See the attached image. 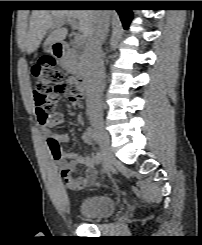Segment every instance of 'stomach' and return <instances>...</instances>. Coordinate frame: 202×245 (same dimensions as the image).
<instances>
[{
    "mask_svg": "<svg viewBox=\"0 0 202 245\" xmlns=\"http://www.w3.org/2000/svg\"><path fill=\"white\" fill-rule=\"evenodd\" d=\"M44 52L53 54V44L44 46Z\"/></svg>",
    "mask_w": 202,
    "mask_h": 245,
    "instance_id": "stomach-1",
    "label": "stomach"
}]
</instances>
